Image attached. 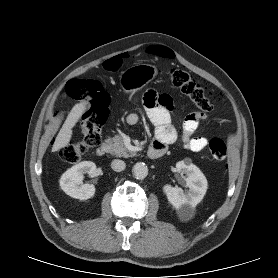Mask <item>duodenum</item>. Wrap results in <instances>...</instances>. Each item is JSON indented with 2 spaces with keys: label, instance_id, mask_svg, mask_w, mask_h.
I'll list each match as a JSON object with an SVG mask.
<instances>
[{
  "label": "duodenum",
  "instance_id": "1",
  "mask_svg": "<svg viewBox=\"0 0 278 278\" xmlns=\"http://www.w3.org/2000/svg\"><path fill=\"white\" fill-rule=\"evenodd\" d=\"M108 145L106 144H101L97 150H96V154L99 157H103L108 153ZM166 151V148L164 145L159 144V143H153L151 144V146L148 148L147 154L151 159H158L161 156L164 155Z\"/></svg>",
  "mask_w": 278,
  "mask_h": 278
}]
</instances>
